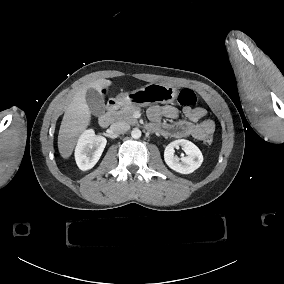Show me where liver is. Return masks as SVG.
<instances>
[{
  "label": "liver",
  "mask_w": 284,
  "mask_h": 284,
  "mask_svg": "<svg viewBox=\"0 0 284 284\" xmlns=\"http://www.w3.org/2000/svg\"><path fill=\"white\" fill-rule=\"evenodd\" d=\"M111 85L110 80L99 78L82 85L67 104L59 129L58 149L63 158H68L76 145L77 138L85 131L90 122V110L86 103V93L93 88L101 93L103 88Z\"/></svg>",
  "instance_id": "6515ba94"
}]
</instances>
